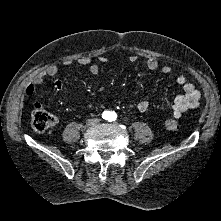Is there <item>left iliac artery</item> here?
Instances as JSON below:
<instances>
[{
	"label": "left iliac artery",
	"instance_id": "1",
	"mask_svg": "<svg viewBox=\"0 0 221 221\" xmlns=\"http://www.w3.org/2000/svg\"><path fill=\"white\" fill-rule=\"evenodd\" d=\"M117 118V114L115 112H111L110 120L115 121Z\"/></svg>",
	"mask_w": 221,
	"mask_h": 221
}]
</instances>
